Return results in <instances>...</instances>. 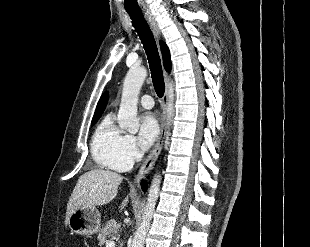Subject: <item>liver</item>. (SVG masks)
Returning a JSON list of instances; mask_svg holds the SVG:
<instances>
[{
	"label": "liver",
	"instance_id": "1",
	"mask_svg": "<svg viewBox=\"0 0 310 247\" xmlns=\"http://www.w3.org/2000/svg\"><path fill=\"white\" fill-rule=\"evenodd\" d=\"M122 180L120 174L103 169H92L81 175L67 204L66 224L72 212L80 207L102 206L111 202ZM127 203L128 196L122 202L121 209Z\"/></svg>",
	"mask_w": 310,
	"mask_h": 247
}]
</instances>
